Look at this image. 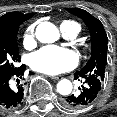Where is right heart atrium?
I'll list each match as a JSON object with an SVG mask.
<instances>
[{
	"label": "right heart atrium",
	"mask_w": 117,
	"mask_h": 117,
	"mask_svg": "<svg viewBox=\"0 0 117 117\" xmlns=\"http://www.w3.org/2000/svg\"><path fill=\"white\" fill-rule=\"evenodd\" d=\"M35 44V39H34V26L31 25L29 26L24 35H23V45L26 47V48H31L33 47Z\"/></svg>",
	"instance_id": "right-heart-atrium-1"
}]
</instances>
